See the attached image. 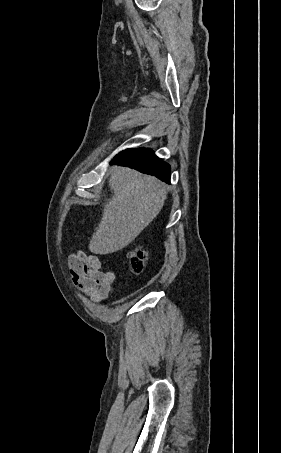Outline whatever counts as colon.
<instances>
[{
    "label": "colon",
    "mask_w": 281,
    "mask_h": 453,
    "mask_svg": "<svg viewBox=\"0 0 281 453\" xmlns=\"http://www.w3.org/2000/svg\"><path fill=\"white\" fill-rule=\"evenodd\" d=\"M148 250L144 243H136L130 252V267L134 272H142L145 267Z\"/></svg>",
    "instance_id": "5ec220e1"
}]
</instances>
